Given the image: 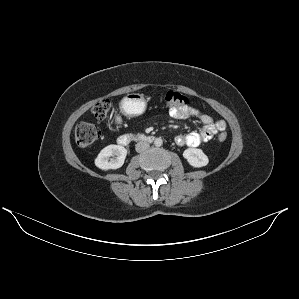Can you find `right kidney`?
<instances>
[{
    "label": "right kidney",
    "instance_id": "ca27d5eb",
    "mask_svg": "<svg viewBox=\"0 0 299 299\" xmlns=\"http://www.w3.org/2000/svg\"><path fill=\"white\" fill-rule=\"evenodd\" d=\"M127 150L120 145H108L103 148L95 159V165L102 170H110L120 168L125 161ZM116 156V159L109 157Z\"/></svg>",
    "mask_w": 299,
    "mask_h": 299
}]
</instances>
